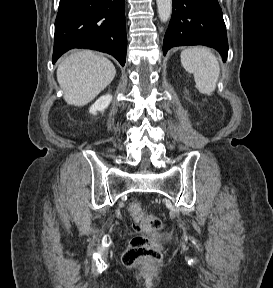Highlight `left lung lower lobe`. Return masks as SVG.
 <instances>
[{"instance_id":"left-lung-lower-lobe-1","label":"left lung lower lobe","mask_w":273,"mask_h":288,"mask_svg":"<svg viewBox=\"0 0 273 288\" xmlns=\"http://www.w3.org/2000/svg\"><path fill=\"white\" fill-rule=\"evenodd\" d=\"M173 12L163 42V53L174 46L206 45L227 59L228 41L218 0H172Z\"/></svg>"}]
</instances>
